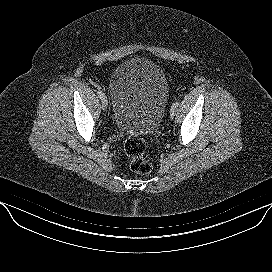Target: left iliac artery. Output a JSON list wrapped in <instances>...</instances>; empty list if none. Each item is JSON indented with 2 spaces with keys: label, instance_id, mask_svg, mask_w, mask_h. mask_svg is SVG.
Masks as SVG:
<instances>
[{
  "label": "left iliac artery",
  "instance_id": "left-iliac-artery-1",
  "mask_svg": "<svg viewBox=\"0 0 272 272\" xmlns=\"http://www.w3.org/2000/svg\"><path fill=\"white\" fill-rule=\"evenodd\" d=\"M179 106V100L175 101L172 105V107L177 108Z\"/></svg>",
  "mask_w": 272,
  "mask_h": 272
}]
</instances>
